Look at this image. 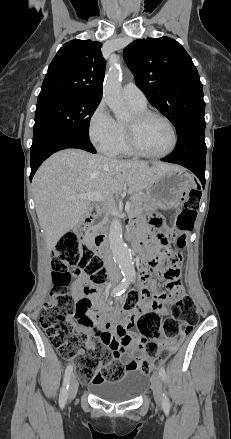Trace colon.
<instances>
[{
    "label": "colon",
    "mask_w": 231,
    "mask_h": 439,
    "mask_svg": "<svg viewBox=\"0 0 231 439\" xmlns=\"http://www.w3.org/2000/svg\"><path fill=\"white\" fill-rule=\"evenodd\" d=\"M199 201L200 194L191 191L174 218V224L179 231L177 240L182 244L185 243L186 233L194 228ZM157 219L159 218H153L152 221ZM160 238L164 239L162 236ZM165 254L172 257L175 251L170 247ZM52 267L54 289L50 300L40 309L39 322L58 354L63 359L74 362L83 382L117 381L123 377L127 368H139L150 373L174 351L169 347L160 352L158 341L166 338L173 343L179 342L192 331L198 321L195 303L187 294L176 300L165 318L154 311L143 313L136 326L144 341L147 358L125 364L115 359L107 347L97 346L98 342L88 345L94 335L84 324L82 315L90 307V303L76 299L73 290L68 289L72 274L83 279L82 289L87 294L104 284L107 273L102 259L85 246L75 233H67L61 237L53 251ZM162 274L166 280L174 275L169 269H165ZM140 298L138 292H131L125 299V310H134ZM83 347L87 351L81 353Z\"/></svg>",
    "instance_id": "obj_1"
}]
</instances>
